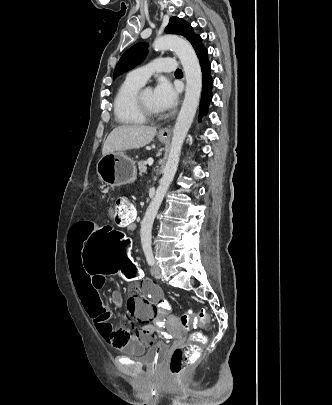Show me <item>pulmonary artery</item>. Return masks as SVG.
Returning <instances> with one entry per match:
<instances>
[{
	"label": "pulmonary artery",
	"instance_id": "e3ab8cb5",
	"mask_svg": "<svg viewBox=\"0 0 332 405\" xmlns=\"http://www.w3.org/2000/svg\"><path fill=\"white\" fill-rule=\"evenodd\" d=\"M176 69V62L172 58H157L150 64L131 71L128 77L141 84L146 83L149 77L155 72H173Z\"/></svg>",
	"mask_w": 332,
	"mask_h": 405
}]
</instances>
